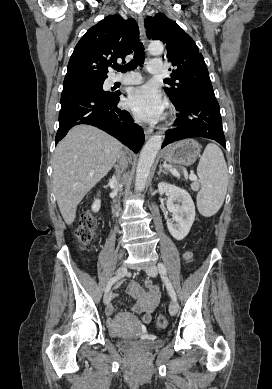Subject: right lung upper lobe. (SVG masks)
Masks as SVG:
<instances>
[{
  "label": "right lung upper lobe",
  "mask_w": 272,
  "mask_h": 389,
  "mask_svg": "<svg viewBox=\"0 0 272 389\" xmlns=\"http://www.w3.org/2000/svg\"><path fill=\"white\" fill-rule=\"evenodd\" d=\"M139 36L134 19L105 17L77 43L68 63L63 87L107 78L108 67L130 54Z\"/></svg>",
  "instance_id": "1"
}]
</instances>
